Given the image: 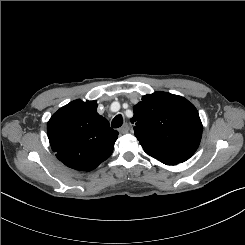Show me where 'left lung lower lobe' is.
I'll return each mask as SVG.
<instances>
[{
    "instance_id": "left-lung-lower-lobe-1",
    "label": "left lung lower lobe",
    "mask_w": 245,
    "mask_h": 245,
    "mask_svg": "<svg viewBox=\"0 0 245 245\" xmlns=\"http://www.w3.org/2000/svg\"><path fill=\"white\" fill-rule=\"evenodd\" d=\"M144 151L156 158L157 160L161 161L162 163L166 164V165H177L178 163H182L184 161H186V158L180 157V156H176V155H172V154H168L147 146L142 145Z\"/></svg>"
}]
</instances>
